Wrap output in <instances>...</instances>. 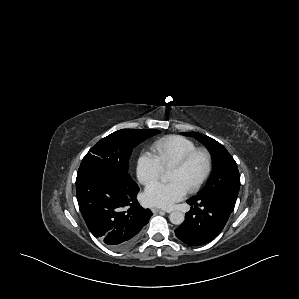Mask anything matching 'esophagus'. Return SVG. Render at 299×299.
I'll use <instances>...</instances> for the list:
<instances>
[{
    "mask_svg": "<svg viewBox=\"0 0 299 299\" xmlns=\"http://www.w3.org/2000/svg\"><path fill=\"white\" fill-rule=\"evenodd\" d=\"M151 211H152L153 213H158V212H170V211H165V210H162V209H159V208H155V207L151 208Z\"/></svg>",
    "mask_w": 299,
    "mask_h": 299,
    "instance_id": "34e87169",
    "label": "esophagus"
}]
</instances>
